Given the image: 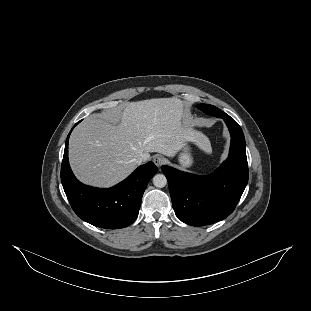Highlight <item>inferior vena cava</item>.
I'll use <instances>...</instances> for the list:
<instances>
[{"label":"inferior vena cava","instance_id":"obj_1","mask_svg":"<svg viewBox=\"0 0 311 311\" xmlns=\"http://www.w3.org/2000/svg\"><path fill=\"white\" fill-rule=\"evenodd\" d=\"M143 160H144V156L143 155H138L132 161L135 162L136 164H141L143 162Z\"/></svg>","mask_w":311,"mask_h":311}]
</instances>
